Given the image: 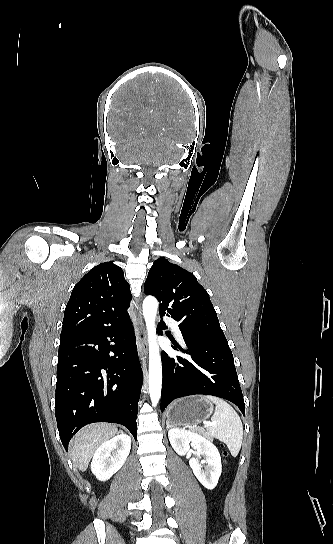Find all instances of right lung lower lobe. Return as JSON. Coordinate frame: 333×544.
Here are the masks:
<instances>
[{
    "label": "right lung lower lobe",
    "mask_w": 333,
    "mask_h": 544,
    "mask_svg": "<svg viewBox=\"0 0 333 544\" xmlns=\"http://www.w3.org/2000/svg\"><path fill=\"white\" fill-rule=\"evenodd\" d=\"M142 383L129 315L117 324L61 340L55 415L65 449L80 428L94 422L122 424L136 438Z\"/></svg>",
    "instance_id": "right-lung-lower-lobe-1"
}]
</instances>
